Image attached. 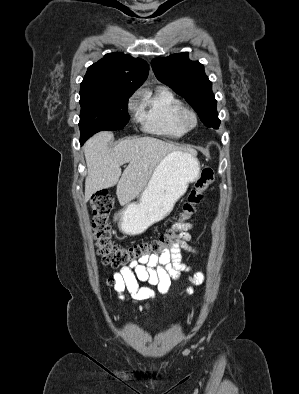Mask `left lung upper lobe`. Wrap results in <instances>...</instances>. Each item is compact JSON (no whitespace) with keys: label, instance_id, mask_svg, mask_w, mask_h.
<instances>
[{"label":"left lung upper lobe","instance_id":"obj_1","mask_svg":"<svg viewBox=\"0 0 299 394\" xmlns=\"http://www.w3.org/2000/svg\"><path fill=\"white\" fill-rule=\"evenodd\" d=\"M151 65L157 79L184 97L204 125L219 128L212 82L205 75L202 64L190 61L188 53L184 52L153 59Z\"/></svg>","mask_w":299,"mask_h":394}]
</instances>
